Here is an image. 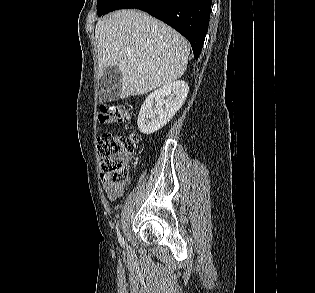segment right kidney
<instances>
[{"instance_id": "1", "label": "right kidney", "mask_w": 315, "mask_h": 293, "mask_svg": "<svg viewBox=\"0 0 315 293\" xmlns=\"http://www.w3.org/2000/svg\"><path fill=\"white\" fill-rule=\"evenodd\" d=\"M189 92L185 81H174L152 92L141 106L137 124L141 133L160 130L181 108Z\"/></svg>"}]
</instances>
